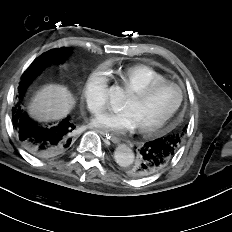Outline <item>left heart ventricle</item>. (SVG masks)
<instances>
[{
	"mask_svg": "<svg viewBox=\"0 0 232 232\" xmlns=\"http://www.w3.org/2000/svg\"><path fill=\"white\" fill-rule=\"evenodd\" d=\"M179 99V91L174 86L160 88L143 100L129 94L122 110L129 111L137 127L148 126L161 120Z\"/></svg>",
	"mask_w": 232,
	"mask_h": 232,
	"instance_id": "b2bd125f",
	"label": "left heart ventricle"
}]
</instances>
